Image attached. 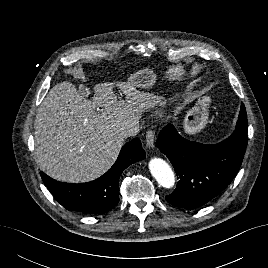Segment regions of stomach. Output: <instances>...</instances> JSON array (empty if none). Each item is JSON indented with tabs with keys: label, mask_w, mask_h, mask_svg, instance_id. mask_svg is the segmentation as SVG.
I'll return each instance as SVG.
<instances>
[{
	"label": "stomach",
	"mask_w": 268,
	"mask_h": 268,
	"mask_svg": "<svg viewBox=\"0 0 268 268\" xmlns=\"http://www.w3.org/2000/svg\"><path fill=\"white\" fill-rule=\"evenodd\" d=\"M165 77L169 81H184L187 79V73L182 64L171 65L167 67ZM155 81V73L151 69L146 68L131 74L125 83L136 89H150ZM210 102L211 99L209 96L199 97L195 106L186 112L183 120V128L187 134H196L206 126Z\"/></svg>",
	"instance_id": "1"
}]
</instances>
